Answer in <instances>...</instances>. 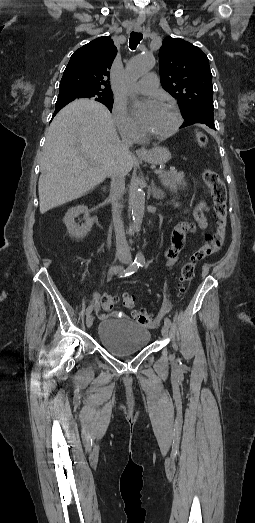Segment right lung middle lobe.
<instances>
[{"mask_svg":"<svg viewBox=\"0 0 255 523\" xmlns=\"http://www.w3.org/2000/svg\"><path fill=\"white\" fill-rule=\"evenodd\" d=\"M59 96L57 99V102H71L74 99L77 98H92L98 102L103 103L104 105H113V94H102V93H91V92H83L78 90H66V91H59Z\"/></svg>","mask_w":255,"mask_h":523,"instance_id":"right-lung-middle-lobe-1","label":"right lung middle lobe"}]
</instances>
